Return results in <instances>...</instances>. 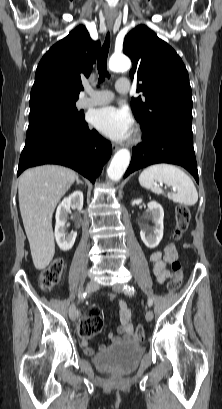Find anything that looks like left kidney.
<instances>
[{
    "label": "left kidney",
    "instance_id": "5707ae66",
    "mask_svg": "<svg viewBox=\"0 0 222 409\" xmlns=\"http://www.w3.org/2000/svg\"><path fill=\"white\" fill-rule=\"evenodd\" d=\"M142 203V199H137L132 202V206L140 205ZM148 210H149V217L155 223L154 227L150 229L149 227H144L140 231V237L143 243L148 248H155L159 245L160 241L163 238V218H164V211L162 206L156 202L151 201L148 203Z\"/></svg>",
    "mask_w": 222,
    "mask_h": 409
}]
</instances>
